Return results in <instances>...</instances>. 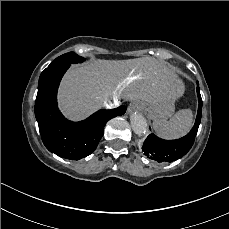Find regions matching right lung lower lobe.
Segmentation results:
<instances>
[{
    "label": "right lung lower lobe",
    "mask_w": 229,
    "mask_h": 229,
    "mask_svg": "<svg viewBox=\"0 0 229 229\" xmlns=\"http://www.w3.org/2000/svg\"><path fill=\"white\" fill-rule=\"evenodd\" d=\"M70 65H62L40 75L35 101V116L45 147L60 157L79 160L91 154L108 120L126 112L125 106L99 110L84 121L71 122L57 107V89Z\"/></svg>",
    "instance_id": "obj_1"
}]
</instances>
